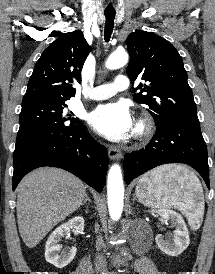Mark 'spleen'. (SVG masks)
Masks as SVG:
<instances>
[{"label":"spleen","mask_w":215,"mask_h":274,"mask_svg":"<svg viewBox=\"0 0 215 274\" xmlns=\"http://www.w3.org/2000/svg\"><path fill=\"white\" fill-rule=\"evenodd\" d=\"M136 195L145 205L175 208L190 221L204 213V194L198 177L180 165L158 167L144 174L136 186Z\"/></svg>","instance_id":"spleen-1"}]
</instances>
